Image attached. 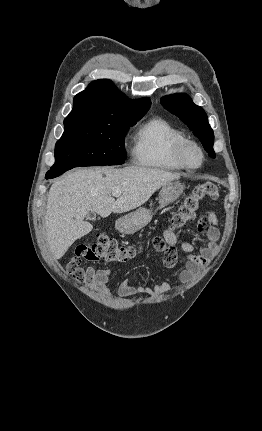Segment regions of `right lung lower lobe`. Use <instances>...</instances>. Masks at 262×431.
<instances>
[{"label":"right lung lower lobe","mask_w":262,"mask_h":431,"mask_svg":"<svg viewBox=\"0 0 262 431\" xmlns=\"http://www.w3.org/2000/svg\"><path fill=\"white\" fill-rule=\"evenodd\" d=\"M70 169H72V168H66V169H63V170H49L47 173H46V179H52V178H55V177H57V176H59V175H61V174H63L64 172H66L67 170H70Z\"/></svg>","instance_id":"right-lung-lower-lobe-1"}]
</instances>
